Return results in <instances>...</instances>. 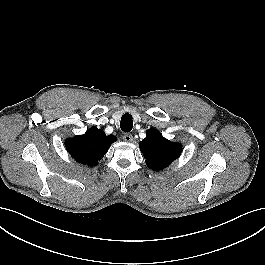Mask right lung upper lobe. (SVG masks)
I'll return each instance as SVG.
<instances>
[{"label":"right lung upper lobe","mask_w":265,"mask_h":265,"mask_svg":"<svg viewBox=\"0 0 265 265\" xmlns=\"http://www.w3.org/2000/svg\"><path fill=\"white\" fill-rule=\"evenodd\" d=\"M116 140L113 135L106 136L102 129L91 127L83 135L66 139L65 146L77 162L92 167L98 164Z\"/></svg>","instance_id":"obj_1"}]
</instances>
